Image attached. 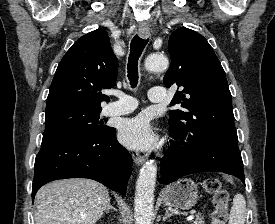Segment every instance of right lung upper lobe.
Wrapping results in <instances>:
<instances>
[{
  "label": "right lung upper lobe",
  "mask_w": 275,
  "mask_h": 224,
  "mask_svg": "<svg viewBox=\"0 0 275 224\" xmlns=\"http://www.w3.org/2000/svg\"><path fill=\"white\" fill-rule=\"evenodd\" d=\"M118 60L108 33L94 30L80 37L64 55L50 86L46 113L64 107L101 108L109 97L100 90L116 82Z\"/></svg>",
  "instance_id": "1"
}]
</instances>
